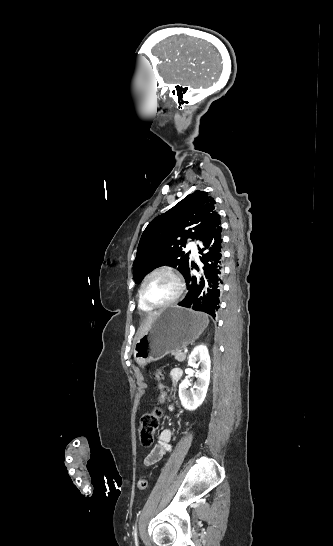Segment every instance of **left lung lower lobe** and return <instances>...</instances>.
I'll return each mask as SVG.
<instances>
[{
	"label": "left lung lower lobe",
	"instance_id": "left-lung-lower-lobe-1",
	"mask_svg": "<svg viewBox=\"0 0 333 546\" xmlns=\"http://www.w3.org/2000/svg\"><path fill=\"white\" fill-rule=\"evenodd\" d=\"M220 215H217L212 224L200 235L202 248H199L200 257L203 263L204 278L197 280L192 275L191 264L185 276L188 289L185 298L178 303L183 307L192 308L196 311H202L213 318H216L220 309V297L222 295V238H221ZM197 270L198 268L195 267Z\"/></svg>",
	"mask_w": 333,
	"mask_h": 546
}]
</instances>
